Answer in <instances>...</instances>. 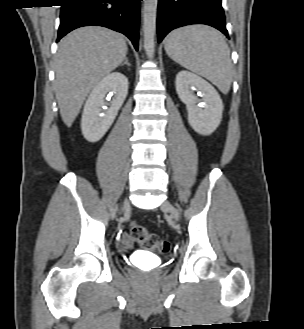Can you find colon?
Instances as JSON below:
<instances>
[{"label": "colon", "instance_id": "colon-1", "mask_svg": "<svg viewBox=\"0 0 304 329\" xmlns=\"http://www.w3.org/2000/svg\"><path fill=\"white\" fill-rule=\"evenodd\" d=\"M130 235L142 247L160 254H167L171 244L167 239L160 238L157 234L147 230L143 225L133 222L130 225Z\"/></svg>", "mask_w": 304, "mask_h": 329}]
</instances>
